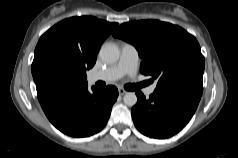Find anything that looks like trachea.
<instances>
[{
  "label": "trachea",
  "instance_id": "1",
  "mask_svg": "<svg viewBox=\"0 0 238 158\" xmlns=\"http://www.w3.org/2000/svg\"><path fill=\"white\" fill-rule=\"evenodd\" d=\"M144 83L141 84H128L125 86V89L130 90V91H134L139 89L140 87L144 86Z\"/></svg>",
  "mask_w": 238,
  "mask_h": 158
}]
</instances>
